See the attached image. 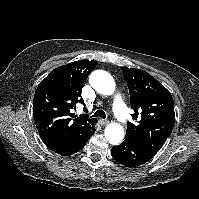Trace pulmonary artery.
<instances>
[{
    "label": "pulmonary artery",
    "instance_id": "obj_1",
    "mask_svg": "<svg viewBox=\"0 0 199 199\" xmlns=\"http://www.w3.org/2000/svg\"><path fill=\"white\" fill-rule=\"evenodd\" d=\"M113 111L115 116L121 122H126L129 118V113L126 108V105L119 94L113 96Z\"/></svg>",
    "mask_w": 199,
    "mask_h": 199
}]
</instances>
